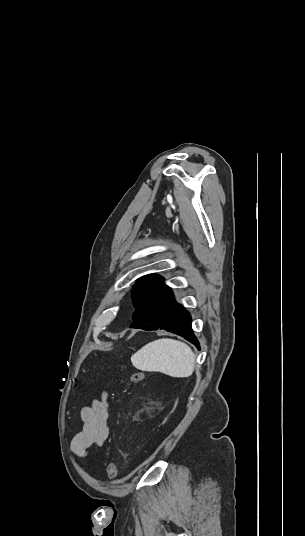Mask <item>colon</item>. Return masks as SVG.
I'll return each mask as SVG.
<instances>
[{
    "label": "colon",
    "instance_id": "colon-1",
    "mask_svg": "<svg viewBox=\"0 0 305 536\" xmlns=\"http://www.w3.org/2000/svg\"><path fill=\"white\" fill-rule=\"evenodd\" d=\"M130 381L133 384H138L143 381V373L141 371H135L130 375ZM107 474L110 479L117 477V465L115 461H110L107 467Z\"/></svg>",
    "mask_w": 305,
    "mask_h": 536
}]
</instances>
